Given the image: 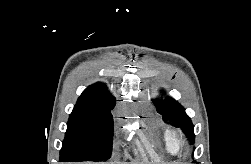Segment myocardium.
<instances>
[{
	"label": "myocardium",
	"mask_w": 251,
	"mask_h": 164,
	"mask_svg": "<svg viewBox=\"0 0 251 164\" xmlns=\"http://www.w3.org/2000/svg\"><path fill=\"white\" fill-rule=\"evenodd\" d=\"M182 144H177V147H180Z\"/></svg>",
	"instance_id": "obj_1"
}]
</instances>
